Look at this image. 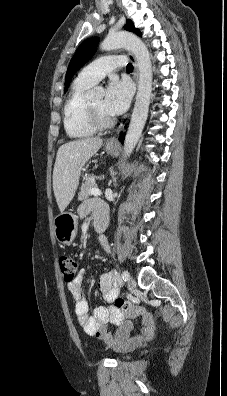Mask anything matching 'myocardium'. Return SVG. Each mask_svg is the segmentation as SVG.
Wrapping results in <instances>:
<instances>
[{
	"label": "myocardium",
	"mask_w": 227,
	"mask_h": 396,
	"mask_svg": "<svg viewBox=\"0 0 227 396\" xmlns=\"http://www.w3.org/2000/svg\"><path fill=\"white\" fill-rule=\"evenodd\" d=\"M86 109L88 113V117L90 122L97 129H106L111 127L114 124V119L110 116L102 115L99 111H97L90 103V101L86 102Z\"/></svg>",
	"instance_id": "obj_1"
}]
</instances>
